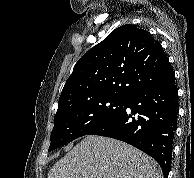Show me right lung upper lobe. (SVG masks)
I'll return each mask as SVG.
<instances>
[{"instance_id":"cb5924a9","label":"right lung upper lobe","mask_w":194,"mask_h":178,"mask_svg":"<svg viewBox=\"0 0 194 178\" xmlns=\"http://www.w3.org/2000/svg\"><path fill=\"white\" fill-rule=\"evenodd\" d=\"M173 75L161 44L148 31L123 25L79 59L64 85L58 109L98 96L129 98Z\"/></svg>"}]
</instances>
